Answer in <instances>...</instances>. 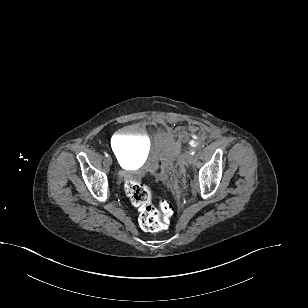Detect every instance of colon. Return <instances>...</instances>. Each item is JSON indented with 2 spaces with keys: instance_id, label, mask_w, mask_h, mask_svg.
<instances>
[{
  "instance_id": "1",
  "label": "colon",
  "mask_w": 308,
  "mask_h": 308,
  "mask_svg": "<svg viewBox=\"0 0 308 308\" xmlns=\"http://www.w3.org/2000/svg\"><path fill=\"white\" fill-rule=\"evenodd\" d=\"M124 188L132 204L138 209V221L143 230L156 232L168 226L174 212L170 202L162 199L159 206L155 207L152 202L153 190L143 182L130 180Z\"/></svg>"
}]
</instances>
